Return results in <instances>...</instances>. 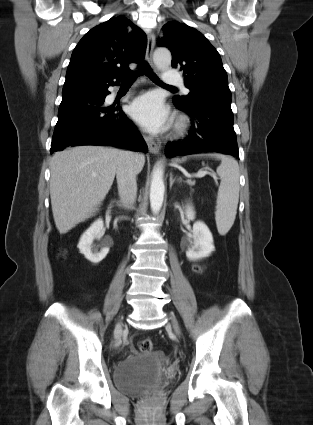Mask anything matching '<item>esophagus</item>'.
Returning <instances> with one entry per match:
<instances>
[{"label":"esophagus","mask_w":313,"mask_h":425,"mask_svg":"<svg viewBox=\"0 0 313 425\" xmlns=\"http://www.w3.org/2000/svg\"><path fill=\"white\" fill-rule=\"evenodd\" d=\"M154 46H155V36L153 33H149L145 57L147 62L151 65H153L152 55H153ZM144 140L147 143L148 149L151 153L157 154L159 152L160 145H158L153 138H151L150 136L144 135Z\"/></svg>","instance_id":"esophagus-1"}]
</instances>
